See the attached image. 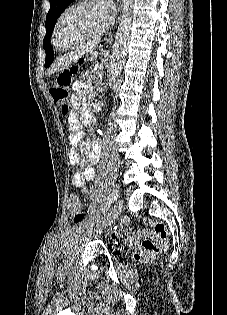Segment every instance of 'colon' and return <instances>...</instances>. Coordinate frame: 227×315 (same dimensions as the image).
<instances>
[{"label":"colon","mask_w":227,"mask_h":315,"mask_svg":"<svg viewBox=\"0 0 227 315\" xmlns=\"http://www.w3.org/2000/svg\"><path fill=\"white\" fill-rule=\"evenodd\" d=\"M78 66L73 65L60 72L53 85L51 86V95L56 102L63 104L64 113H68L69 107L67 101L70 94V85L73 76L77 73ZM67 208L70 217L75 223H80L85 218V211L77 192H71L67 198ZM130 233V232H128ZM132 236L141 240V250L135 255L138 262L150 260L161 253L169 241V231L163 221H153L151 224V233L142 229H136L131 232Z\"/></svg>","instance_id":"5ec220e1"}]
</instances>
